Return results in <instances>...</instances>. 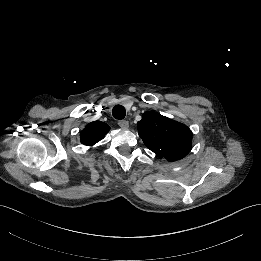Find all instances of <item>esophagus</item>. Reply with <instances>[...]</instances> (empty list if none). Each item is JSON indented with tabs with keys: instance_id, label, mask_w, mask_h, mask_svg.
Wrapping results in <instances>:
<instances>
[{
	"instance_id": "obj_1",
	"label": "esophagus",
	"mask_w": 261,
	"mask_h": 261,
	"mask_svg": "<svg viewBox=\"0 0 261 261\" xmlns=\"http://www.w3.org/2000/svg\"><path fill=\"white\" fill-rule=\"evenodd\" d=\"M118 125L123 129H127L129 127V123L126 120H120L118 122Z\"/></svg>"
}]
</instances>
